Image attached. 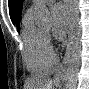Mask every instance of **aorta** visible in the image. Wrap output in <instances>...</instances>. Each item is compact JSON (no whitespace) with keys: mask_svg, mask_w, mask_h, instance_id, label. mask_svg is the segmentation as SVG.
Listing matches in <instances>:
<instances>
[{"mask_svg":"<svg viewBox=\"0 0 89 89\" xmlns=\"http://www.w3.org/2000/svg\"><path fill=\"white\" fill-rule=\"evenodd\" d=\"M70 32L66 51V69L63 89H76L78 73L81 64V34L78 0H69ZM35 22L42 27L51 24V15L43 0H38L35 6Z\"/></svg>","mask_w":89,"mask_h":89,"instance_id":"762f6f07","label":"aorta"}]
</instances>
